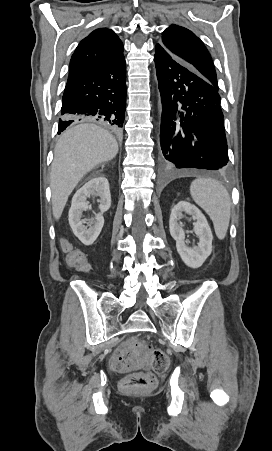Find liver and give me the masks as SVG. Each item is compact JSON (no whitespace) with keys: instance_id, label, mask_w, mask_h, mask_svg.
Instances as JSON below:
<instances>
[{"instance_id":"liver-1","label":"liver","mask_w":272,"mask_h":451,"mask_svg":"<svg viewBox=\"0 0 272 451\" xmlns=\"http://www.w3.org/2000/svg\"><path fill=\"white\" fill-rule=\"evenodd\" d=\"M118 154V144L107 130L96 124H78L60 136L54 150L50 174L52 212L59 220L68 196L83 176L97 164L109 162Z\"/></svg>"}]
</instances>
